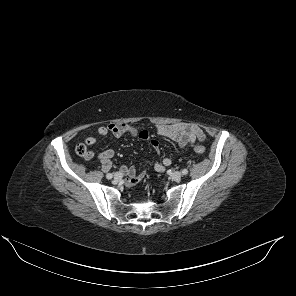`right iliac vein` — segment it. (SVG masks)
I'll return each mask as SVG.
<instances>
[{
    "instance_id": "1",
    "label": "right iliac vein",
    "mask_w": 296,
    "mask_h": 296,
    "mask_svg": "<svg viewBox=\"0 0 296 296\" xmlns=\"http://www.w3.org/2000/svg\"><path fill=\"white\" fill-rule=\"evenodd\" d=\"M114 178H115L116 180H120V179L122 178V174L119 173V172H117V173H115Z\"/></svg>"
}]
</instances>
